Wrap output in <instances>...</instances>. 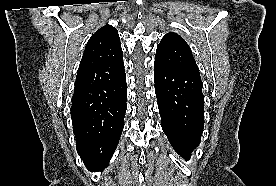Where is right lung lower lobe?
I'll use <instances>...</instances> for the list:
<instances>
[{
	"mask_svg": "<svg viewBox=\"0 0 276 186\" xmlns=\"http://www.w3.org/2000/svg\"><path fill=\"white\" fill-rule=\"evenodd\" d=\"M126 99L125 74L109 83L74 90L71 118L76 149L91 172L102 171L118 145Z\"/></svg>",
	"mask_w": 276,
	"mask_h": 186,
	"instance_id": "obj_1",
	"label": "right lung lower lobe"
}]
</instances>
